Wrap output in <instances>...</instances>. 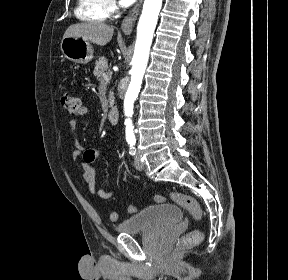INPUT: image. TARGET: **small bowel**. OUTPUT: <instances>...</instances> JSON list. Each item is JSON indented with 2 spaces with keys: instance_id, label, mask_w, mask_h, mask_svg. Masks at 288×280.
Masks as SVG:
<instances>
[{
  "instance_id": "obj_1",
  "label": "small bowel",
  "mask_w": 288,
  "mask_h": 280,
  "mask_svg": "<svg viewBox=\"0 0 288 280\" xmlns=\"http://www.w3.org/2000/svg\"><path fill=\"white\" fill-rule=\"evenodd\" d=\"M88 114V108L83 106L79 114L80 117ZM77 122L74 119L68 121L69 130L73 133L76 129ZM72 158L74 160L81 158L83 165V179L88 186L89 192L102 199H110L115 194V189L105 190L96 185L95 181V167L94 163L98 158V151L94 149H84L81 146H77V149L73 152Z\"/></svg>"
}]
</instances>
